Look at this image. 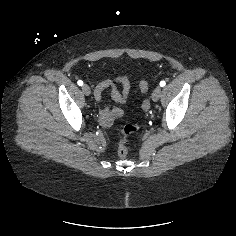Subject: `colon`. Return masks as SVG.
<instances>
[{
    "label": "colon",
    "mask_w": 236,
    "mask_h": 236,
    "mask_svg": "<svg viewBox=\"0 0 236 236\" xmlns=\"http://www.w3.org/2000/svg\"><path fill=\"white\" fill-rule=\"evenodd\" d=\"M139 87H140V91L142 93H146L148 90V82L145 80L141 81L139 84ZM145 106H147V104H145ZM139 129H140L139 124H127V125L120 128V133L123 136L127 137V136L137 132ZM127 153H128V150H127V147L124 144V142L120 143L118 146V149H117V154L120 157H125L127 155Z\"/></svg>",
    "instance_id": "obj_1"
}]
</instances>
